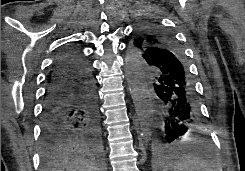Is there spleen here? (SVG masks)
<instances>
[{"instance_id":"3e777b00","label":"spleen","mask_w":245,"mask_h":171,"mask_svg":"<svg viewBox=\"0 0 245 171\" xmlns=\"http://www.w3.org/2000/svg\"><path fill=\"white\" fill-rule=\"evenodd\" d=\"M173 171H213L202 158L194 155H184L174 163Z\"/></svg>"}]
</instances>
